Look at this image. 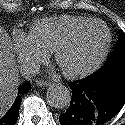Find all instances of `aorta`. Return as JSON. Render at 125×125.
I'll use <instances>...</instances> for the list:
<instances>
[{
  "instance_id": "obj_1",
  "label": "aorta",
  "mask_w": 125,
  "mask_h": 125,
  "mask_svg": "<svg viewBox=\"0 0 125 125\" xmlns=\"http://www.w3.org/2000/svg\"><path fill=\"white\" fill-rule=\"evenodd\" d=\"M71 92L63 84L52 85L47 92V100L51 107L57 109L66 108L71 101Z\"/></svg>"
}]
</instances>
